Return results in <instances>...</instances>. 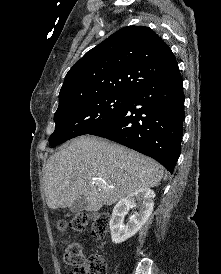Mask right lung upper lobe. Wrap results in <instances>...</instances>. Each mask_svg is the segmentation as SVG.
Returning a JSON list of instances; mask_svg holds the SVG:
<instances>
[{
  "mask_svg": "<svg viewBox=\"0 0 221 274\" xmlns=\"http://www.w3.org/2000/svg\"><path fill=\"white\" fill-rule=\"evenodd\" d=\"M177 64L169 46L145 26L124 27L69 70L59 103L109 94L133 95Z\"/></svg>",
  "mask_w": 221,
  "mask_h": 274,
  "instance_id": "right-lung-upper-lobe-1",
  "label": "right lung upper lobe"
}]
</instances>
